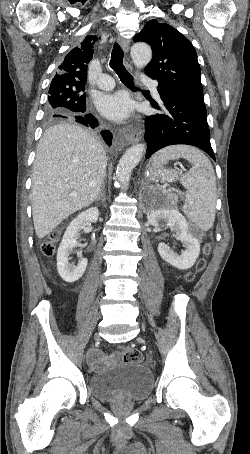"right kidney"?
<instances>
[{
	"instance_id": "1",
	"label": "right kidney",
	"mask_w": 250,
	"mask_h": 454,
	"mask_svg": "<svg viewBox=\"0 0 250 454\" xmlns=\"http://www.w3.org/2000/svg\"><path fill=\"white\" fill-rule=\"evenodd\" d=\"M99 217V210L96 207L81 212L67 227L57 252V269L61 278L73 283L80 279L87 267V259L82 258L78 264H69L73 248L78 246L79 231L85 228L88 221L95 223Z\"/></svg>"
}]
</instances>
